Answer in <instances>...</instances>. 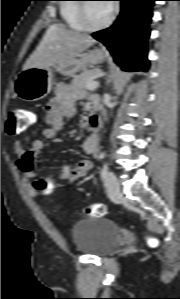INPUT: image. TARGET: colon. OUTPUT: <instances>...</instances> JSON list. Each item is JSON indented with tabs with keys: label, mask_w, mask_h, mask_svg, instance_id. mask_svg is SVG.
<instances>
[{
	"label": "colon",
	"mask_w": 180,
	"mask_h": 299,
	"mask_svg": "<svg viewBox=\"0 0 180 299\" xmlns=\"http://www.w3.org/2000/svg\"><path fill=\"white\" fill-rule=\"evenodd\" d=\"M36 119V115L23 108L12 109L9 113L6 130L11 135H17L28 127H30ZM35 187L37 191L42 195H50L54 186L52 184L44 182H36ZM105 206L99 203L92 204L87 208V215L90 217H100L105 214ZM147 241L149 245L156 246L158 244V239L152 235H147Z\"/></svg>",
	"instance_id": "colon-1"
}]
</instances>
